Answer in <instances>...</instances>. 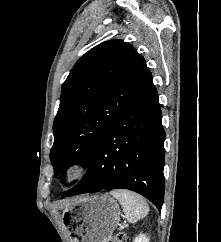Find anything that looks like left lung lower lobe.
<instances>
[{
  "label": "left lung lower lobe",
  "mask_w": 221,
  "mask_h": 242,
  "mask_svg": "<svg viewBox=\"0 0 221 242\" xmlns=\"http://www.w3.org/2000/svg\"><path fill=\"white\" fill-rule=\"evenodd\" d=\"M158 93L152 84L100 137L88 171L66 191L72 195L129 189L161 210L164 200V140Z\"/></svg>",
  "instance_id": "0a47b994"
}]
</instances>
